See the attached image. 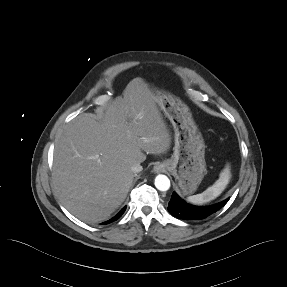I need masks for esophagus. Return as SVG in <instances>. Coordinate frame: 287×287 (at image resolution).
<instances>
[{
  "instance_id": "1",
  "label": "esophagus",
  "mask_w": 287,
  "mask_h": 287,
  "mask_svg": "<svg viewBox=\"0 0 287 287\" xmlns=\"http://www.w3.org/2000/svg\"><path fill=\"white\" fill-rule=\"evenodd\" d=\"M154 172L156 173H160V172H164L166 170V165L163 163H157L154 168H153Z\"/></svg>"
}]
</instances>
